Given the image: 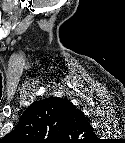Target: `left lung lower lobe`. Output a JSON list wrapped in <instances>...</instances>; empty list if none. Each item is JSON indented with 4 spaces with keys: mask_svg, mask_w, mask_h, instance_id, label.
<instances>
[{
    "mask_svg": "<svg viewBox=\"0 0 125 143\" xmlns=\"http://www.w3.org/2000/svg\"><path fill=\"white\" fill-rule=\"evenodd\" d=\"M84 116V114L76 109V107L71 103L69 102L67 105H66V124L69 125L70 123L72 124L73 121H77V120H80L82 119ZM70 124V125H71Z\"/></svg>",
    "mask_w": 125,
    "mask_h": 143,
    "instance_id": "left-lung-lower-lobe-1",
    "label": "left lung lower lobe"
}]
</instances>
